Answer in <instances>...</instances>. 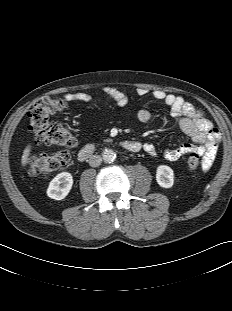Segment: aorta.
<instances>
[{
    "label": "aorta",
    "instance_id": "obj_1",
    "mask_svg": "<svg viewBox=\"0 0 232 311\" xmlns=\"http://www.w3.org/2000/svg\"><path fill=\"white\" fill-rule=\"evenodd\" d=\"M116 152L113 149H105L102 152V158L106 163H112L116 159Z\"/></svg>",
    "mask_w": 232,
    "mask_h": 311
}]
</instances>
